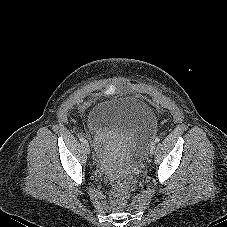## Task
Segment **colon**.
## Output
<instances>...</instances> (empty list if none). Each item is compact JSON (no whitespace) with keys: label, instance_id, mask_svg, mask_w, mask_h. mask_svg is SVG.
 <instances>
[{"label":"colon","instance_id":"5ec220e1","mask_svg":"<svg viewBox=\"0 0 227 227\" xmlns=\"http://www.w3.org/2000/svg\"><path fill=\"white\" fill-rule=\"evenodd\" d=\"M133 185L134 181L131 178H123L121 176L114 178L110 200L115 209H122L125 206Z\"/></svg>","mask_w":227,"mask_h":227}]
</instances>
